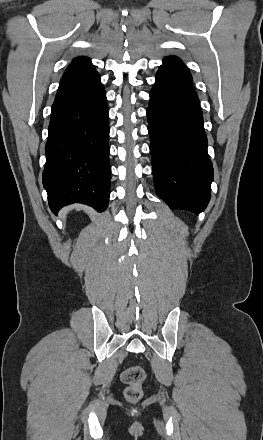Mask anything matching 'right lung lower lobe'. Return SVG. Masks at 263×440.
Segmentation results:
<instances>
[{
	"mask_svg": "<svg viewBox=\"0 0 263 440\" xmlns=\"http://www.w3.org/2000/svg\"><path fill=\"white\" fill-rule=\"evenodd\" d=\"M106 93L96 70L59 85L48 128L43 185L52 212L72 203L98 211L110 195Z\"/></svg>",
	"mask_w": 263,
	"mask_h": 440,
	"instance_id": "obj_1",
	"label": "right lung lower lobe"
}]
</instances>
